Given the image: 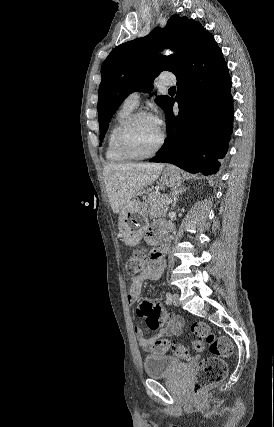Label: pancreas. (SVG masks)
Wrapping results in <instances>:
<instances>
[{
	"instance_id": "cf45deb5",
	"label": "pancreas",
	"mask_w": 274,
	"mask_h": 427,
	"mask_svg": "<svg viewBox=\"0 0 274 427\" xmlns=\"http://www.w3.org/2000/svg\"><path fill=\"white\" fill-rule=\"evenodd\" d=\"M146 202L149 206L148 214L150 219L161 217V215L166 217L168 212L167 196H161V198H158V196H150Z\"/></svg>"
}]
</instances>
